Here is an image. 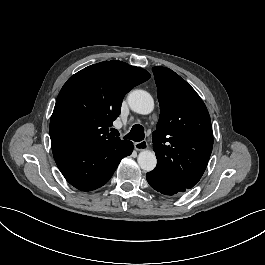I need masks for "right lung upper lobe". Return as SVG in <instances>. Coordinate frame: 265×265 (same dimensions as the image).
<instances>
[{
    "mask_svg": "<svg viewBox=\"0 0 265 265\" xmlns=\"http://www.w3.org/2000/svg\"><path fill=\"white\" fill-rule=\"evenodd\" d=\"M150 74L139 67L111 60L88 66L62 87L50 120L52 143L93 144L120 140L109 134L122 100Z\"/></svg>",
    "mask_w": 265,
    "mask_h": 265,
    "instance_id": "cb5924a9",
    "label": "right lung upper lobe"
}]
</instances>
